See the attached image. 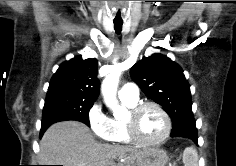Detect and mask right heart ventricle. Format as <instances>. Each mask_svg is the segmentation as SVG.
<instances>
[{
    "label": "right heart ventricle",
    "mask_w": 236,
    "mask_h": 166,
    "mask_svg": "<svg viewBox=\"0 0 236 166\" xmlns=\"http://www.w3.org/2000/svg\"><path fill=\"white\" fill-rule=\"evenodd\" d=\"M122 103L124 106H126L127 108L131 109L134 106L137 105V101L133 102L130 100H126V99H121ZM111 141H113L114 143L120 144V145H132L133 142L131 141L124 121L122 119L119 118H112L111 119Z\"/></svg>",
    "instance_id": "e07e8e85"
}]
</instances>
